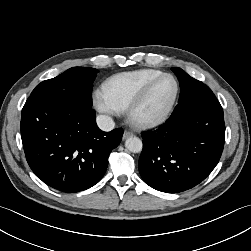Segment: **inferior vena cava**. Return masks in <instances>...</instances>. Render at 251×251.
Segmentation results:
<instances>
[{"label":"inferior vena cava","mask_w":251,"mask_h":251,"mask_svg":"<svg viewBox=\"0 0 251 251\" xmlns=\"http://www.w3.org/2000/svg\"><path fill=\"white\" fill-rule=\"evenodd\" d=\"M97 125L102 131H111L115 127V123L110 116L107 115H98L97 116Z\"/></svg>","instance_id":"1"}]
</instances>
